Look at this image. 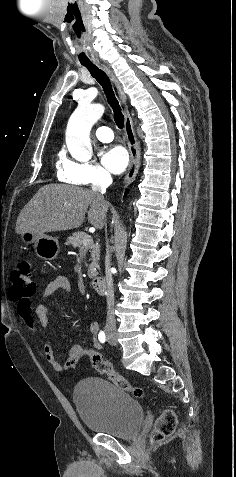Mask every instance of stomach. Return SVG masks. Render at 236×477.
<instances>
[{
    "label": "stomach",
    "mask_w": 236,
    "mask_h": 477,
    "mask_svg": "<svg viewBox=\"0 0 236 477\" xmlns=\"http://www.w3.org/2000/svg\"><path fill=\"white\" fill-rule=\"evenodd\" d=\"M21 240L26 246L32 244L37 256L44 260H53L60 252L58 239L45 234L38 235L31 232H23Z\"/></svg>",
    "instance_id": "0dacf381"
}]
</instances>
